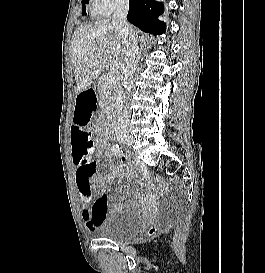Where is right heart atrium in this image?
I'll return each mask as SVG.
<instances>
[{
	"mask_svg": "<svg viewBox=\"0 0 265 273\" xmlns=\"http://www.w3.org/2000/svg\"><path fill=\"white\" fill-rule=\"evenodd\" d=\"M92 10L98 15H108L128 4V0H90Z\"/></svg>",
	"mask_w": 265,
	"mask_h": 273,
	"instance_id": "1",
	"label": "right heart atrium"
}]
</instances>
